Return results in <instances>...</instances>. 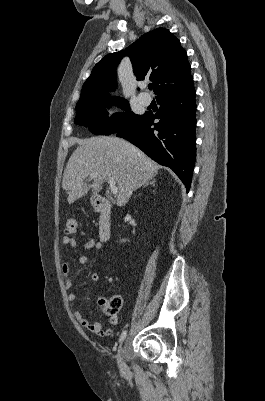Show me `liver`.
Segmentation results:
<instances>
[{
    "label": "liver",
    "instance_id": "6515ba94",
    "mask_svg": "<svg viewBox=\"0 0 265 401\" xmlns=\"http://www.w3.org/2000/svg\"><path fill=\"white\" fill-rule=\"evenodd\" d=\"M78 146L71 154L64 170L62 186L67 190L69 205L92 190L97 194L103 182L113 176L117 182L118 207H124L132 190L140 188L156 176L159 164L148 158L142 150L117 136H91L78 138ZM98 172L97 176H90ZM87 176L92 184L84 182Z\"/></svg>",
    "mask_w": 265,
    "mask_h": 401
}]
</instances>
